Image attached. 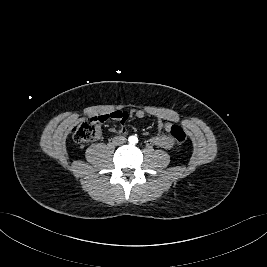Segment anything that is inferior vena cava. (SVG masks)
Returning a JSON list of instances; mask_svg holds the SVG:
<instances>
[{
	"mask_svg": "<svg viewBox=\"0 0 267 267\" xmlns=\"http://www.w3.org/2000/svg\"><path fill=\"white\" fill-rule=\"evenodd\" d=\"M115 140H116V143H117L118 145H121V144L126 143V138L123 137V136H118V137L115 138Z\"/></svg>",
	"mask_w": 267,
	"mask_h": 267,
	"instance_id": "inferior-vena-cava-1",
	"label": "inferior vena cava"
}]
</instances>
